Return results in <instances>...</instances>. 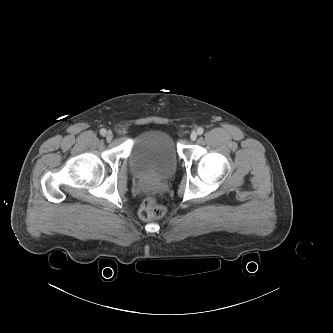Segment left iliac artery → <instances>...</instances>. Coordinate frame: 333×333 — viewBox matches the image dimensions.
Listing matches in <instances>:
<instances>
[{
  "instance_id": "44dca946",
  "label": "left iliac artery",
  "mask_w": 333,
  "mask_h": 333,
  "mask_svg": "<svg viewBox=\"0 0 333 333\" xmlns=\"http://www.w3.org/2000/svg\"><path fill=\"white\" fill-rule=\"evenodd\" d=\"M203 132H204L203 128L199 127V128L197 129V133H198V135H202Z\"/></svg>"
}]
</instances>
